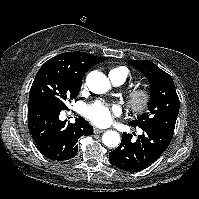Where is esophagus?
Listing matches in <instances>:
<instances>
[{
  "instance_id": "34e87169",
  "label": "esophagus",
  "mask_w": 199,
  "mask_h": 199,
  "mask_svg": "<svg viewBox=\"0 0 199 199\" xmlns=\"http://www.w3.org/2000/svg\"><path fill=\"white\" fill-rule=\"evenodd\" d=\"M102 132H104L103 129L94 128V133H95V134H100V133H102Z\"/></svg>"
}]
</instances>
